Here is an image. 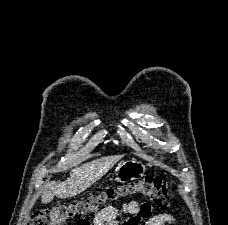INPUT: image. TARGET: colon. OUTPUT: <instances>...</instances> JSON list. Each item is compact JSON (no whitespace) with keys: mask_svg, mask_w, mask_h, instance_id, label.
Returning a JSON list of instances; mask_svg holds the SVG:
<instances>
[{"mask_svg":"<svg viewBox=\"0 0 228 225\" xmlns=\"http://www.w3.org/2000/svg\"><path fill=\"white\" fill-rule=\"evenodd\" d=\"M135 187H124L121 195H131V192H141L150 197L161 208L168 206L171 200L168 184L157 176H145L141 181L133 183ZM121 191V188L118 190ZM117 192L111 190L107 194L92 196L86 202L74 206L37 209L30 219L29 225H91L88 218L100 209L103 202L112 199L118 201ZM112 207V204H109Z\"/></svg>","mask_w":228,"mask_h":225,"instance_id":"5ec220e1","label":"colon"}]
</instances>
